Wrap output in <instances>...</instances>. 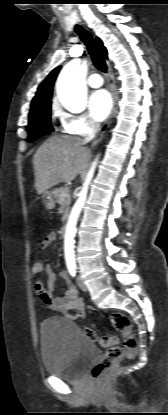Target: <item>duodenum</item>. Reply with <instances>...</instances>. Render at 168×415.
Returning <instances> with one entry per match:
<instances>
[{
	"instance_id": "1",
	"label": "duodenum",
	"mask_w": 168,
	"mask_h": 415,
	"mask_svg": "<svg viewBox=\"0 0 168 415\" xmlns=\"http://www.w3.org/2000/svg\"><path fill=\"white\" fill-rule=\"evenodd\" d=\"M66 231H67V225L64 223V224L61 226V228H60V230H59V233H60V235H61V236H64V235L66 234Z\"/></svg>"
}]
</instances>
